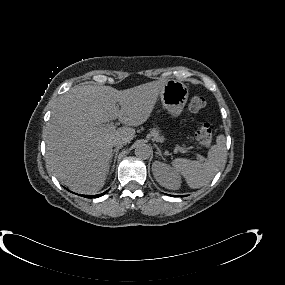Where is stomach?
<instances>
[{
  "label": "stomach",
  "instance_id": "1",
  "mask_svg": "<svg viewBox=\"0 0 285 285\" xmlns=\"http://www.w3.org/2000/svg\"><path fill=\"white\" fill-rule=\"evenodd\" d=\"M187 86L178 80H168L160 92L164 108L172 115L179 116L188 100Z\"/></svg>",
  "mask_w": 285,
  "mask_h": 285
}]
</instances>
